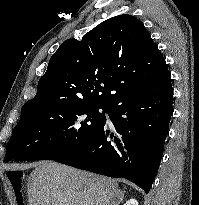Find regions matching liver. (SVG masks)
Segmentation results:
<instances>
[{"mask_svg": "<svg viewBox=\"0 0 199 205\" xmlns=\"http://www.w3.org/2000/svg\"><path fill=\"white\" fill-rule=\"evenodd\" d=\"M115 180L52 161L35 165L27 185L29 205H118Z\"/></svg>", "mask_w": 199, "mask_h": 205, "instance_id": "obj_1", "label": "liver"}]
</instances>
